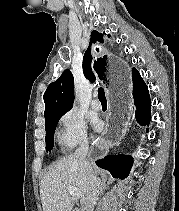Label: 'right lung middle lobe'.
<instances>
[{"label": "right lung middle lobe", "instance_id": "right-lung-middle-lobe-1", "mask_svg": "<svg viewBox=\"0 0 179 211\" xmlns=\"http://www.w3.org/2000/svg\"><path fill=\"white\" fill-rule=\"evenodd\" d=\"M61 116L62 115L55 116L45 122V125H46V138H45L46 151H50V149L54 145V142H53L54 132H55L56 125H57L59 119L61 118Z\"/></svg>", "mask_w": 179, "mask_h": 211}]
</instances>
